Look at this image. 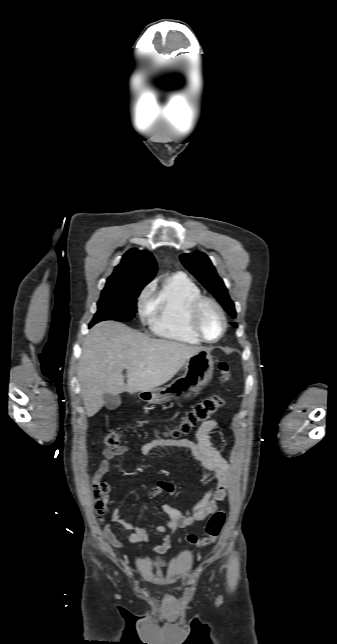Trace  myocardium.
<instances>
[{
	"mask_svg": "<svg viewBox=\"0 0 337 644\" xmlns=\"http://www.w3.org/2000/svg\"><path fill=\"white\" fill-rule=\"evenodd\" d=\"M207 305H210V306L214 307L217 310V312L219 313V316H220V319H221V332H220L219 336L216 339H213V340L207 339L204 336V334L202 333L201 329H200L201 313H202L204 307L207 306ZM189 326H190V329L192 330V332L195 334V336L198 339L201 340V342L209 343V344L216 343V342L220 341L223 338V336H224V334H225V332L227 330V318H226V314L224 312V309L222 308V306L215 299H213L211 297H208V296L201 295L200 297H198L197 299L194 300V302L192 303V305L190 307V311H189Z\"/></svg>",
	"mask_w": 337,
	"mask_h": 644,
	"instance_id": "myocardium-1",
	"label": "myocardium"
}]
</instances>
